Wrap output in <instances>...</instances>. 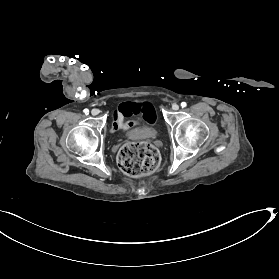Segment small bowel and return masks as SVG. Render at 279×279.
Listing matches in <instances>:
<instances>
[{"mask_svg":"<svg viewBox=\"0 0 279 279\" xmlns=\"http://www.w3.org/2000/svg\"><path fill=\"white\" fill-rule=\"evenodd\" d=\"M135 113H141L149 123H153L156 119L154 108L148 102L123 103L114 112L112 132H117L122 129H133V134H136L141 127L140 123L126 120V118Z\"/></svg>","mask_w":279,"mask_h":279,"instance_id":"c3829d8e","label":"small bowel"}]
</instances>
